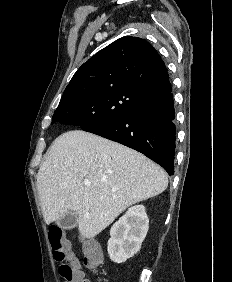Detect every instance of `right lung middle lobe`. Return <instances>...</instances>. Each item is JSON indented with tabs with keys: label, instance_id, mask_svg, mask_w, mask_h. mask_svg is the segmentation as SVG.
Masks as SVG:
<instances>
[{
	"label": "right lung middle lobe",
	"instance_id": "1",
	"mask_svg": "<svg viewBox=\"0 0 232 282\" xmlns=\"http://www.w3.org/2000/svg\"><path fill=\"white\" fill-rule=\"evenodd\" d=\"M147 100L144 94L129 89H110L79 95L60 101L51 124L59 122L84 128L108 123L137 111Z\"/></svg>",
	"mask_w": 232,
	"mask_h": 282
}]
</instances>
